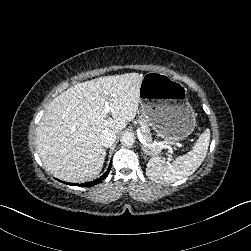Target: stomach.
Here are the masks:
<instances>
[{
  "label": "stomach",
  "instance_id": "stomach-1",
  "mask_svg": "<svg viewBox=\"0 0 251 251\" xmlns=\"http://www.w3.org/2000/svg\"><path fill=\"white\" fill-rule=\"evenodd\" d=\"M139 103L143 119L166 140H183L195 129L196 114L185 87L165 73L144 75Z\"/></svg>",
  "mask_w": 251,
  "mask_h": 251
}]
</instances>
